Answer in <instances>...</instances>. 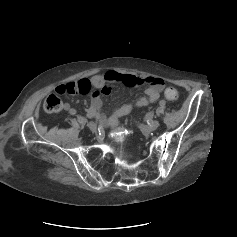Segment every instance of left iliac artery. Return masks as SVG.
<instances>
[{"mask_svg":"<svg viewBox=\"0 0 237 237\" xmlns=\"http://www.w3.org/2000/svg\"><path fill=\"white\" fill-rule=\"evenodd\" d=\"M166 104V102L164 101V100H161L160 102H159V105L160 106H164Z\"/></svg>","mask_w":237,"mask_h":237,"instance_id":"44dca946","label":"left iliac artery"}]
</instances>
